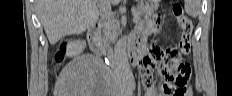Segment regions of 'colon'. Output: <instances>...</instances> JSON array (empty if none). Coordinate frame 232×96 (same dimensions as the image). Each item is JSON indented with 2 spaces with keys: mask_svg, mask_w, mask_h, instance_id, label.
<instances>
[{
  "mask_svg": "<svg viewBox=\"0 0 232 96\" xmlns=\"http://www.w3.org/2000/svg\"><path fill=\"white\" fill-rule=\"evenodd\" d=\"M171 13L181 29V39L178 49L162 51L168 57L164 70L165 83L173 91V96H189L188 78L191 72L187 58L190 53V40L193 32V22L185 15L179 3H172ZM66 44H63L54 56V67L57 69L65 58Z\"/></svg>",
  "mask_w": 232,
  "mask_h": 96,
  "instance_id": "5ec220e1",
  "label": "colon"
}]
</instances>
